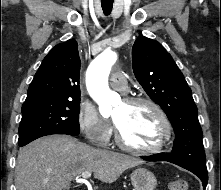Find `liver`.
I'll return each instance as SVG.
<instances>
[{
    "label": "liver",
    "mask_w": 221,
    "mask_h": 190,
    "mask_svg": "<svg viewBox=\"0 0 221 190\" xmlns=\"http://www.w3.org/2000/svg\"><path fill=\"white\" fill-rule=\"evenodd\" d=\"M136 157L94 149L68 136H49L23 147L15 167L17 190H69L83 172L113 183L127 169L141 164Z\"/></svg>",
    "instance_id": "6515ba94"
}]
</instances>
